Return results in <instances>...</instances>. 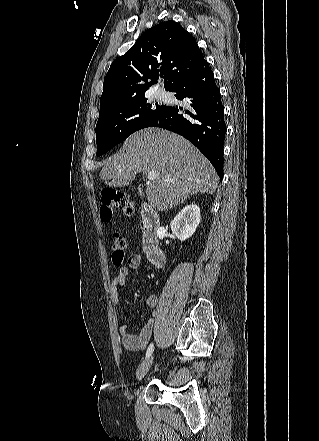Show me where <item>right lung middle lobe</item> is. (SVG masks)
Returning a JSON list of instances; mask_svg holds the SVG:
<instances>
[{"instance_id":"obj_1","label":"right lung middle lobe","mask_w":319,"mask_h":441,"mask_svg":"<svg viewBox=\"0 0 319 441\" xmlns=\"http://www.w3.org/2000/svg\"><path fill=\"white\" fill-rule=\"evenodd\" d=\"M165 107L152 104L144 97L100 111L96 125L97 156L106 153L133 132L151 126Z\"/></svg>"}]
</instances>
